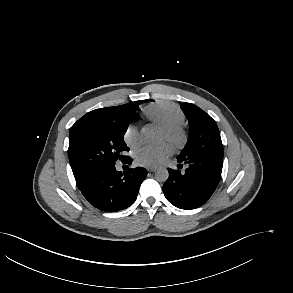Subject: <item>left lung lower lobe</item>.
Instances as JSON below:
<instances>
[{"instance_id": "obj_1", "label": "left lung lower lobe", "mask_w": 293, "mask_h": 293, "mask_svg": "<svg viewBox=\"0 0 293 293\" xmlns=\"http://www.w3.org/2000/svg\"><path fill=\"white\" fill-rule=\"evenodd\" d=\"M188 165L185 172L168 168L169 177L163 185L167 200L180 209L203 205L215 191L221 177L223 159L204 153L177 158ZM182 164L178 165L181 168Z\"/></svg>"}]
</instances>
